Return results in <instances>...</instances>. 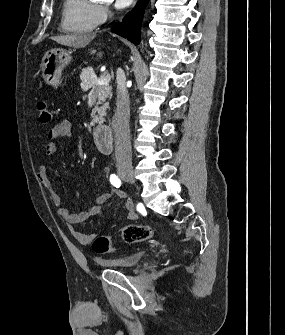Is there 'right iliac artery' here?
I'll return each instance as SVG.
<instances>
[{"instance_id": "right-iliac-artery-1", "label": "right iliac artery", "mask_w": 285, "mask_h": 335, "mask_svg": "<svg viewBox=\"0 0 285 335\" xmlns=\"http://www.w3.org/2000/svg\"><path fill=\"white\" fill-rule=\"evenodd\" d=\"M110 182L113 186H115L116 188H119L121 185V180L119 179L118 176H116L115 174H112L110 176Z\"/></svg>"}]
</instances>
